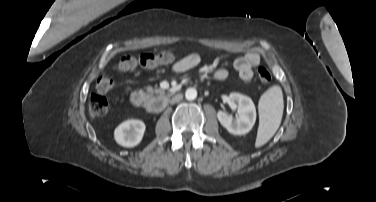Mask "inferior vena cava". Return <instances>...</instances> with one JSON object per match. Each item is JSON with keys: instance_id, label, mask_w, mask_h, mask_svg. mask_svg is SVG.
Masks as SVG:
<instances>
[{"instance_id": "602c4592", "label": "inferior vena cava", "mask_w": 376, "mask_h": 202, "mask_svg": "<svg viewBox=\"0 0 376 202\" xmlns=\"http://www.w3.org/2000/svg\"><path fill=\"white\" fill-rule=\"evenodd\" d=\"M182 95L181 94H178L176 96H174L171 100L172 103H176V102H179L181 99H182Z\"/></svg>"}]
</instances>
